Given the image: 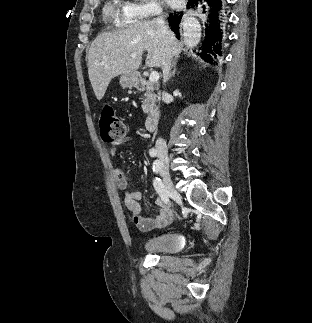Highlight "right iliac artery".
Instances as JSON below:
<instances>
[{
  "label": "right iliac artery",
  "instance_id": "1",
  "mask_svg": "<svg viewBox=\"0 0 312 323\" xmlns=\"http://www.w3.org/2000/svg\"><path fill=\"white\" fill-rule=\"evenodd\" d=\"M156 152L152 153L151 156H155ZM154 166L157 170H159L160 168V162L158 160H156L154 162ZM153 186L155 188V190L157 191V193L159 194V196L161 197V199L165 202V203H169V195H168V191L165 187V185L163 184V182L161 181L160 178L156 177L153 180Z\"/></svg>",
  "mask_w": 312,
  "mask_h": 323
}]
</instances>
